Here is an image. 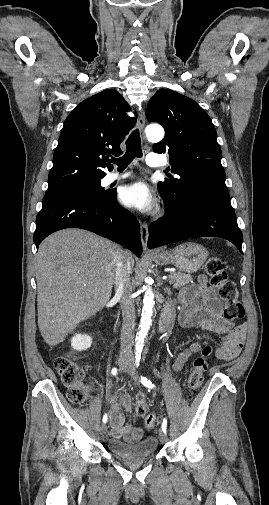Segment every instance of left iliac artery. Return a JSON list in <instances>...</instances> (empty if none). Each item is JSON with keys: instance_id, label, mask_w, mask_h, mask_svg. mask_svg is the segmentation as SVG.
Here are the masks:
<instances>
[{"instance_id": "obj_1", "label": "left iliac artery", "mask_w": 269, "mask_h": 505, "mask_svg": "<svg viewBox=\"0 0 269 505\" xmlns=\"http://www.w3.org/2000/svg\"><path fill=\"white\" fill-rule=\"evenodd\" d=\"M139 362H140V353L139 354L137 353L136 354V361H135L137 367H139ZM140 381L147 388L152 389V388L155 387V385L149 379H147L146 377L141 376L140 377ZM162 431L164 433L167 432V419L166 418H164L163 422H162Z\"/></svg>"}]
</instances>
